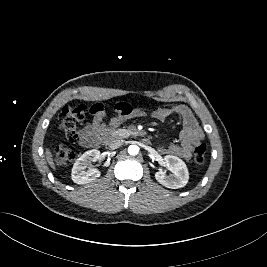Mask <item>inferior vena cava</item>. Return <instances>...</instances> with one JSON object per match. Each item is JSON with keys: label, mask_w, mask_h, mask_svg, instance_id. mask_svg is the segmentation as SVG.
<instances>
[{"label": "inferior vena cava", "mask_w": 267, "mask_h": 267, "mask_svg": "<svg viewBox=\"0 0 267 267\" xmlns=\"http://www.w3.org/2000/svg\"><path fill=\"white\" fill-rule=\"evenodd\" d=\"M124 141L120 139H113L109 143V149L115 150L123 145Z\"/></svg>", "instance_id": "602c4592"}]
</instances>
